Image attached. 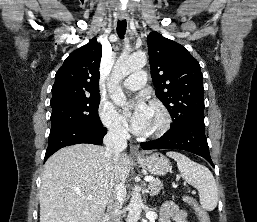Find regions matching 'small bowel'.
<instances>
[{"mask_svg":"<svg viewBox=\"0 0 257 222\" xmlns=\"http://www.w3.org/2000/svg\"><path fill=\"white\" fill-rule=\"evenodd\" d=\"M188 222L186 213L179 209L174 203L166 202L162 208L160 222Z\"/></svg>","mask_w":257,"mask_h":222,"instance_id":"c3829d8e","label":"small bowel"}]
</instances>
